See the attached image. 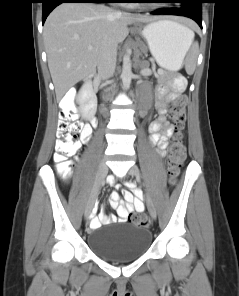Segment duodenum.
Listing matches in <instances>:
<instances>
[{
	"label": "duodenum",
	"mask_w": 239,
	"mask_h": 296,
	"mask_svg": "<svg viewBox=\"0 0 239 296\" xmlns=\"http://www.w3.org/2000/svg\"><path fill=\"white\" fill-rule=\"evenodd\" d=\"M91 78H92V76H89V77L87 78V80H90ZM92 124L95 125V121H94V120H92Z\"/></svg>",
	"instance_id": "duodenum-1"
}]
</instances>
